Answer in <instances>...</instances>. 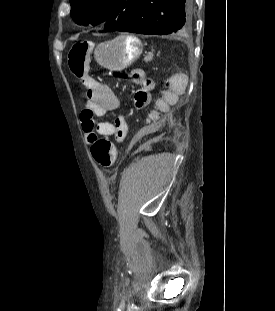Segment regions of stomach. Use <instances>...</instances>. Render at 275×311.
<instances>
[{
  "label": "stomach",
  "instance_id": "obj_1",
  "mask_svg": "<svg viewBox=\"0 0 275 311\" xmlns=\"http://www.w3.org/2000/svg\"><path fill=\"white\" fill-rule=\"evenodd\" d=\"M143 45L134 36L121 35L100 43L94 51L96 62L110 71H121L134 63L142 54Z\"/></svg>",
  "mask_w": 275,
  "mask_h": 311
}]
</instances>
